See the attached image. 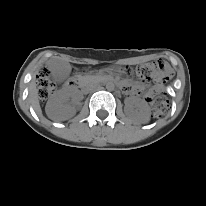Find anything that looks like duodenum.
<instances>
[{
  "instance_id": "obj_1",
  "label": "duodenum",
  "mask_w": 206,
  "mask_h": 206,
  "mask_svg": "<svg viewBox=\"0 0 206 206\" xmlns=\"http://www.w3.org/2000/svg\"><path fill=\"white\" fill-rule=\"evenodd\" d=\"M67 85H69V86H74V87H76V89L77 90H82L83 89V84L82 83H80V82H78L77 80H71V81H69L68 83H67Z\"/></svg>"
}]
</instances>
